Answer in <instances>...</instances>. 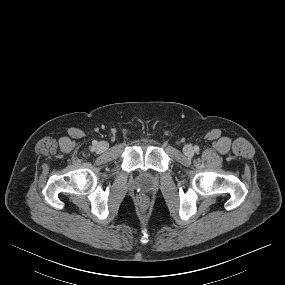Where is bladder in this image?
Returning <instances> with one entry per match:
<instances>
[{"label":"bladder","instance_id":"bladder-1","mask_svg":"<svg viewBox=\"0 0 285 285\" xmlns=\"http://www.w3.org/2000/svg\"><path fill=\"white\" fill-rule=\"evenodd\" d=\"M141 183L143 185H149L150 184V180L147 177H142Z\"/></svg>","mask_w":285,"mask_h":285}]
</instances>
